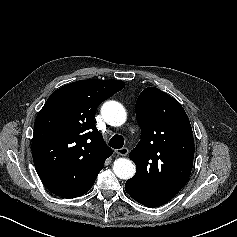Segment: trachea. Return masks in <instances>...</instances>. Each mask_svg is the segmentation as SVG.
Listing matches in <instances>:
<instances>
[{
  "label": "trachea",
  "mask_w": 237,
  "mask_h": 237,
  "mask_svg": "<svg viewBox=\"0 0 237 237\" xmlns=\"http://www.w3.org/2000/svg\"><path fill=\"white\" fill-rule=\"evenodd\" d=\"M109 145L114 149H121L124 145V138L116 134L110 139Z\"/></svg>",
  "instance_id": "1"
}]
</instances>
